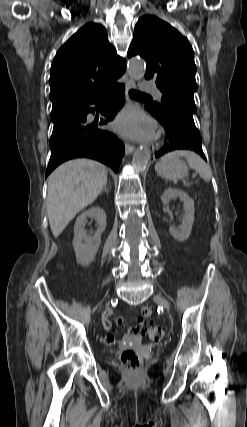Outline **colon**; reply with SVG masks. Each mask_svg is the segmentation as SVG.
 I'll return each mask as SVG.
<instances>
[{
    "label": "colon",
    "instance_id": "5ec220e1",
    "mask_svg": "<svg viewBox=\"0 0 247 427\" xmlns=\"http://www.w3.org/2000/svg\"><path fill=\"white\" fill-rule=\"evenodd\" d=\"M146 335L150 340L159 342L164 339L165 331L156 325H149L146 328ZM120 359L123 366L129 371L137 370L142 364L141 355L132 348L123 350Z\"/></svg>",
    "mask_w": 247,
    "mask_h": 427
}]
</instances>
